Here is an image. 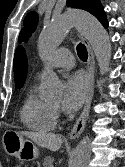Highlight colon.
<instances>
[{
  "mask_svg": "<svg viewBox=\"0 0 125 167\" xmlns=\"http://www.w3.org/2000/svg\"><path fill=\"white\" fill-rule=\"evenodd\" d=\"M13 167H24L23 164H16Z\"/></svg>",
  "mask_w": 125,
  "mask_h": 167,
  "instance_id": "5ec220e1",
  "label": "colon"
}]
</instances>
